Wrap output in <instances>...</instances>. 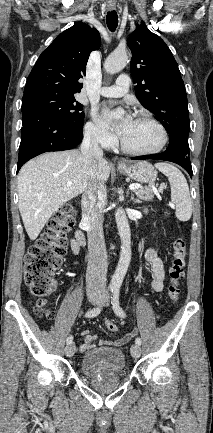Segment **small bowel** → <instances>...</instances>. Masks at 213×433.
<instances>
[{"label":"small bowel","instance_id":"c3829d8e","mask_svg":"<svg viewBox=\"0 0 213 433\" xmlns=\"http://www.w3.org/2000/svg\"><path fill=\"white\" fill-rule=\"evenodd\" d=\"M71 250L74 254H78L80 246L76 242V240L71 241ZM145 261L149 267L151 273V287L155 292H161L164 289V279H165V271L163 261L157 254V252L153 248H148L145 252ZM135 334V331H132L122 338H119L114 342L115 345H123ZM83 343L80 345V351L85 352L93 347L94 342L96 341V336L91 332L85 330L82 332ZM105 344H110V342H105Z\"/></svg>","mask_w":213,"mask_h":433}]
</instances>
